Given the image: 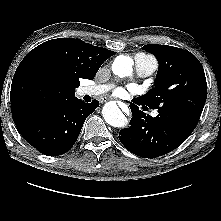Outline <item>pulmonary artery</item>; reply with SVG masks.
Instances as JSON below:
<instances>
[{"label":"pulmonary artery","mask_w":221,"mask_h":221,"mask_svg":"<svg viewBox=\"0 0 221 221\" xmlns=\"http://www.w3.org/2000/svg\"><path fill=\"white\" fill-rule=\"evenodd\" d=\"M134 66H135V71L139 77H148L156 71L158 63L156 59L153 57L146 56L143 54H137L134 57ZM111 88L112 84L87 86L81 89V94L95 96L106 93ZM157 114H158L157 111L152 113L154 117L157 116Z\"/></svg>","instance_id":"pulmonary-artery-1"}]
</instances>
